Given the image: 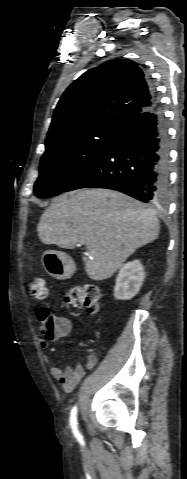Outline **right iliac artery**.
Instances as JSON below:
<instances>
[{
    "label": "right iliac artery",
    "mask_w": 187,
    "mask_h": 479,
    "mask_svg": "<svg viewBox=\"0 0 187 479\" xmlns=\"http://www.w3.org/2000/svg\"><path fill=\"white\" fill-rule=\"evenodd\" d=\"M70 425L74 435H79L78 426H77V407L74 406L70 414Z\"/></svg>",
    "instance_id": "obj_1"
}]
</instances>
